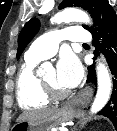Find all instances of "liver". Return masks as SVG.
Here are the masks:
<instances>
[{
    "label": "liver",
    "mask_w": 117,
    "mask_h": 131,
    "mask_svg": "<svg viewBox=\"0 0 117 131\" xmlns=\"http://www.w3.org/2000/svg\"><path fill=\"white\" fill-rule=\"evenodd\" d=\"M57 108H44L38 110H28L23 112L17 119V122L25 121V120H39L43 118H47L57 112Z\"/></svg>",
    "instance_id": "obj_1"
}]
</instances>
